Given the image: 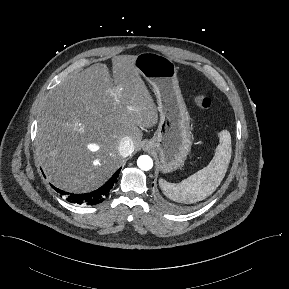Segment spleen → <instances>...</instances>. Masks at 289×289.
<instances>
[{
	"mask_svg": "<svg viewBox=\"0 0 289 289\" xmlns=\"http://www.w3.org/2000/svg\"><path fill=\"white\" fill-rule=\"evenodd\" d=\"M231 136L227 130L220 133V144L210 163L180 183L159 180L165 196L176 202L196 203L210 196L223 180L231 159Z\"/></svg>",
	"mask_w": 289,
	"mask_h": 289,
	"instance_id": "spleen-1",
	"label": "spleen"
}]
</instances>
